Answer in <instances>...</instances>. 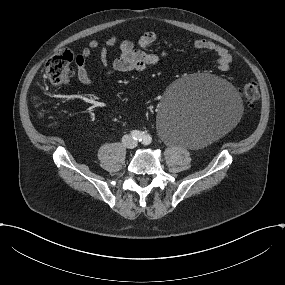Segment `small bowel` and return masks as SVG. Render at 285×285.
Wrapping results in <instances>:
<instances>
[{
  "mask_svg": "<svg viewBox=\"0 0 285 285\" xmlns=\"http://www.w3.org/2000/svg\"><path fill=\"white\" fill-rule=\"evenodd\" d=\"M156 40L153 32H146L135 44L130 40H123L118 43L116 36L109 37L104 43L91 40L76 56L77 79L85 86H92L93 80L87 70L86 62L93 51H99L100 60L107 68V74L125 73L130 71H144L153 68L158 64L161 57L166 56L165 52L160 55L147 53L145 48ZM199 50L211 51L218 57V67L221 71L229 70L232 63V55L225 47L207 39H198L193 43ZM118 49V55L110 59V51ZM64 83H67L65 81Z\"/></svg>",
  "mask_w": 285,
  "mask_h": 285,
  "instance_id": "small-bowel-1",
  "label": "small bowel"
}]
</instances>
